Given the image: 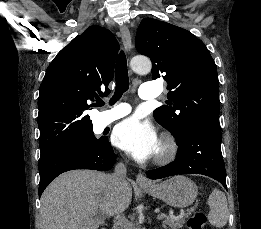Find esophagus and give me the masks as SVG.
<instances>
[{"instance_id":"34e87169","label":"esophagus","mask_w":261,"mask_h":229,"mask_svg":"<svg viewBox=\"0 0 261 229\" xmlns=\"http://www.w3.org/2000/svg\"><path fill=\"white\" fill-rule=\"evenodd\" d=\"M120 33H121L123 45H124L125 49L127 50V52H129L132 48V40H131L130 32H129L128 28H126L125 26H122V27H120ZM136 182L139 185H146V186L152 185V182L149 181V179H147V177L142 173L137 174Z\"/></svg>"}]
</instances>
